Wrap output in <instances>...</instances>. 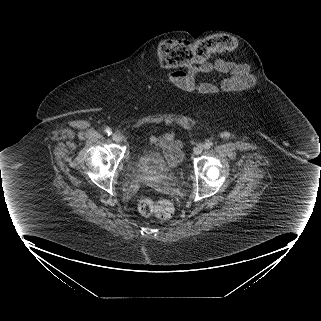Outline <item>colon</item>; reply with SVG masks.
I'll return each mask as SVG.
<instances>
[{
    "label": "colon",
    "mask_w": 321,
    "mask_h": 321,
    "mask_svg": "<svg viewBox=\"0 0 321 321\" xmlns=\"http://www.w3.org/2000/svg\"><path fill=\"white\" fill-rule=\"evenodd\" d=\"M236 48V40L229 35H216L197 42L167 40L160 42L155 52L160 64L165 68H177L203 63L219 52H229ZM139 212L146 217L155 215L167 219L174 213L173 204L165 199L143 197L138 203Z\"/></svg>",
    "instance_id": "colon-1"
}]
</instances>
